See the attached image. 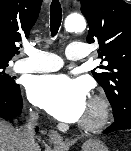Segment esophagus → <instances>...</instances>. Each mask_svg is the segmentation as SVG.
I'll list each match as a JSON object with an SVG mask.
<instances>
[{
	"label": "esophagus",
	"instance_id": "obj_1",
	"mask_svg": "<svg viewBox=\"0 0 131 151\" xmlns=\"http://www.w3.org/2000/svg\"><path fill=\"white\" fill-rule=\"evenodd\" d=\"M48 137H49V140L55 145L61 146L65 144L61 135L55 130H49Z\"/></svg>",
	"mask_w": 131,
	"mask_h": 151
}]
</instances>
